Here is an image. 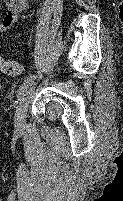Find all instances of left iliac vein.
Returning a JSON list of instances; mask_svg holds the SVG:
<instances>
[{
  "mask_svg": "<svg viewBox=\"0 0 123 201\" xmlns=\"http://www.w3.org/2000/svg\"><path fill=\"white\" fill-rule=\"evenodd\" d=\"M33 92V86L32 84L26 90L20 100L18 109L15 114V128L16 130H22L24 125H25V120H26V113H27V108L28 104L31 98V94Z\"/></svg>",
  "mask_w": 123,
  "mask_h": 201,
  "instance_id": "4c4485c4",
  "label": "left iliac vein"
}]
</instances>
